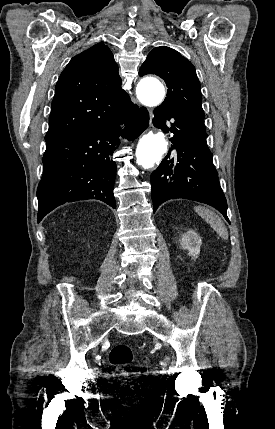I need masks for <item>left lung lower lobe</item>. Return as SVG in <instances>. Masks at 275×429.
I'll return each instance as SVG.
<instances>
[{
	"mask_svg": "<svg viewBox=\"0 0 275 429\" xmlns=\"http://www.w3.org/2000/svg\"><path fill=\"white\" fill-rule=\"evenodd\" d=\"M170 119L172 122L166 124ZM152 122L163 132L174 134L171 149L151 174L153 211L167 200L185 198L215 207L229 222L205 127L164 105L155 108Z\"/></svg>",
	"mask_w": 275,
	"mask_h": 429,
	"instance_id": "obj_1",
	"label": "left lung lower lobe"
}]
</instances>
